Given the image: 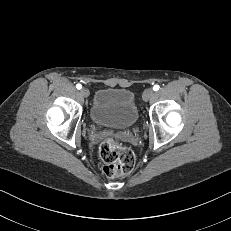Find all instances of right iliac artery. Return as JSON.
<instances>
[{
	"label": "right iliac artery",
	"instance_id": "obj_1",
	"mask_svg": "<svg viewBox=\"0 0 231 231\" xmlns=\"http://www.w3.org/2000/svg\"><path fill=\"white\" fill-rule=\"evenodd\" d=\"M76 88H77V89H81V88H82L81 84H77V85H76Z\"/></svg>",
	"mask_w": 231,
	"mask_h": 231
}]
</instances>
